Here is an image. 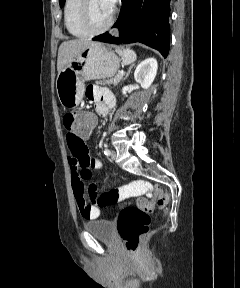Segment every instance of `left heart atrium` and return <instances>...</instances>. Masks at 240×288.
I'll return each instance as SVG.
<instances>
[{
    "label": "left heart atrium",
    "mask_w": 240,
    "mask_h": 288,
    "mask_svg": "<svg viewBox=\"0 0 240 288\" xmlns=\"http://www.w3.org/2000/svg\"><path fill=\"white\" fill-rule=\"evenodd\" d=\"M109 13H112L117 0H101Z\"/></svg>",
    "instance_id": "39dd6f15"
}]
</instances>
